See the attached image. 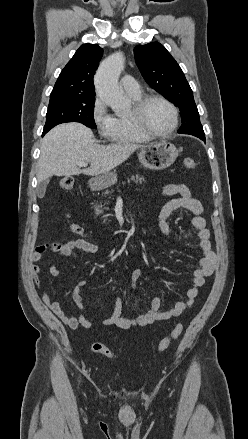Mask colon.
Here are the masks:
<instances>
[{"label": "colon", "mask_w": 248, "mask_h": 439, "mask_svg": "<svg viewBox=\"0 0 248 439\" xmlns=\"http://www.w3.org/2000/svg\"><path fill=\"white\" fill-rule=\"evenodd\" d=\"M183 166L186 172H192L196 169L197 163L192 158H184L183 160ZM74 186V181L70 177H65L60 180L59 187L64 191H70ZM72 231L77 235H84L83 229L77 225V224H71ZM184 330L183 324L179 323L175 326V328L172 330V332L163 338L160 343L158 344L157 351L159 353H162L166 351L182 334ZM92 350L96 353H100L104 355L107 358L115 359L117 358L116 354L108 348L106 345L95 342L91 346Z\"/></svg>", "instance_id": "5ec220e1"}]
</instances>
